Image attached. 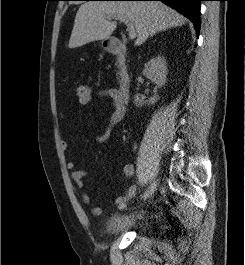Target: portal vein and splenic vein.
<instances>
[{"mask_svg":"<svg viewBox=\"0 0 245 265\" xmlns=\"http://www.w3.org/2000/svg\"><path fill=\"white\" fill-rule=\"evenodd\" d=\"M116 19V20H120L121 22H123L126 26H127V31H128V35H129V39H135L137 36V33L135 31V27L133 25V23L130 22L129 19H127L126 17L120 16V15H114L112 17H109V19Z\"/></svg>","mask_w":245,"mask_h":265,"instance_id":"portal-vein-and-splenic-vein-1","label":"portal vein and splenic vein"}]
</instances>
